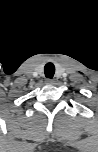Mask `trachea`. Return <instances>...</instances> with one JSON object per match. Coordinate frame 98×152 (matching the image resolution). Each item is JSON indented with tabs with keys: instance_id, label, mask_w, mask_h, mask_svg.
Returning <instances> with one entry per match:
<instances>
[{
	"instance_id": "obj_1",
	"label": "trachea",
	"mask_w": 98,
	"mask_h": 152,
	"mask_svg": "<svg viewBox=\"0 0 98 152\" xmlns=\"http://www.w3.org/2000/svg\"><path fill=\"white\" fill-rule=\"evenodd\" d=\"M45 76L52 79L55 73V66L53 63H47L44 67Z\"/></svg>"
}]
</instances>
